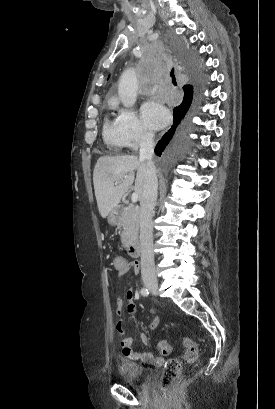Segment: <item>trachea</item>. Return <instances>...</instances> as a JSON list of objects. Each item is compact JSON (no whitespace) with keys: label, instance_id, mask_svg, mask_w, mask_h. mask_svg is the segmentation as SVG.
Segmentation results:
<instances>
[{"label":"trachea","instance_id":"obj_1","mask_svg":"<svg viewBox=\"0 0 275 409\" xmlns=\"http://www.w3.org/2000/svg\"><path fill=\"white\" fill-rule=\"evenodd\" d=\"M170 75H171V77H172L173 85H176L177 83H176V79H175V75H174V69L171 70Z\"/></svg>","mask_w":275,"mask_h":409}]
</instances>
